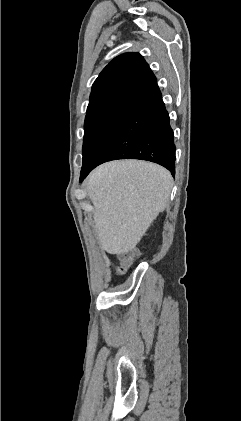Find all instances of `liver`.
<instances>
[{
	"instance_id": "6515ba94",
	"label": "liver",
	"mask_w": 241,
	"mask_h": 421,
	"mask_svg": "<svg viewBox=\"0 0 241 421\" xmlns=\"http://www.w3.org/2000/svg\"><path fill=\"white\" fill-rule=\"evenodd\" d=\"M101 248L110 254L133 250L169 202L168 170L140 160H119L94 169L87 178Z\"/></svg>"
}]
</instances>
